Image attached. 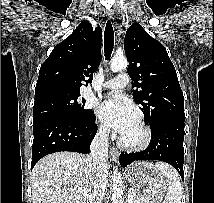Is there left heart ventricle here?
<instances>
[{"label": "left heart ventricle", "mask_w": 214, "mask_h": 203, "mask_svg": "<svg viewBox=\"0 0 214 203\" xmlns=\"http://www.w3.org/2000/svg\"><path fill=\"white\" fill-rule=\"evenodd\" d=\"M128 140L135 141L140 138L141 132L138 125L134 126L130 131L123 134Z\"/></svg>", "instance_id": "1"}]
</instances>
